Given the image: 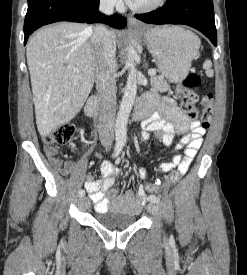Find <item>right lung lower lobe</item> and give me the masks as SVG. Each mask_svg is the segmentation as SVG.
Returning a JSON list of instances; mask_svg holds the SVG:
<instances>
[{"mask_svg":"<svg viewBox=\"0 0 247 275\" xmlns=\"http://www.w3.org/2000/svg\"><path fill=\"white\" fill-rule=\"evenodd\" d=\"M99 0H28L24 22V44L28 36L43 25L58 21L102 22L118 29L126 26L125 17L105 16L98 11Z\"/></svg>","mask_w":247,"mask_h":275,"instance_id":"right-lung-lower-lobe-1","label":"right lung lower lobe"}]
</instances>
